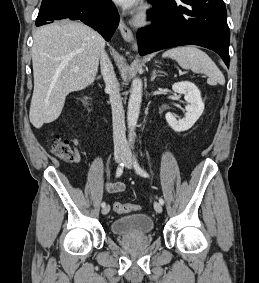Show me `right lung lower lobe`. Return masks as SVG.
Instances as JSON below:
<instances>
[{"instance_id":"1","label":"right lung lower lobe","mask_w":259,"mask_h":283,"mask_svg":"<svg viewBox=\"0 0 259 283\" xmlns=\"http://www.w3.org/2000/svg\"><path fill=\"white\" fill-rule=\"evenodd\" d=\"M81 20L109 41L119 24V15L110 0H43L36 26L53 20Z\"/></svg>"}]
</instances>
